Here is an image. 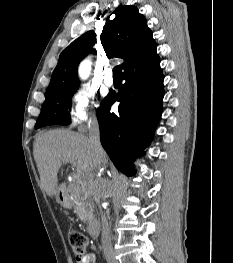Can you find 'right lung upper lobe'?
<instances>
[{
	"label": "right lung upper lobe",
	"mask_w": 233,
	"mask_h": 263,
	"mask_svg": "<svg viewBox=\"0 0 233 263\" xmlns=\"http://www.w3.org/2000/svg\"><path fill=\"white\" fill-rule=\"evenodd\" d=\"M114 14L116 17L113 20L107 19L101 34L102 46L107 57L124 59L123 74L156 62L159 59L156 43L152 31L147 27L146 19L138 12V8L121 5ZM95 42V32L89 31L62 51L46 96L62 90L78 89L77 67Z\"/></svg>",
	"instance_id": "right-lung-upper-lobe-1"
}]
</instances>
